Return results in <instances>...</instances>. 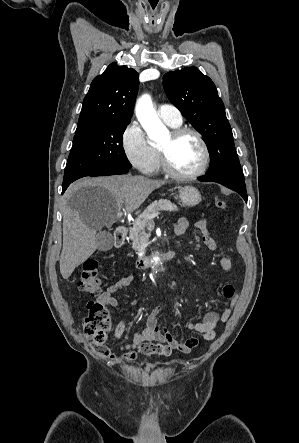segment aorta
<instances>
[{"instance_id": "762f6f07", "label": "aorta", "mask_w": 299, "mask_h": 443, "mask_svg": "<svg viewBox=\"0 0 299 443\" xmlns=\"http://www.w3.org/2000/svg\"><path fill=\"white\" fill-rule=\"evenodd\" d=\"M135 111L138 121L151 140L159 141L167 136L168 130L157 116L149 95H142L138 99ZM155 262L158 263V259Z\"/></svg>"}]
</instances>
